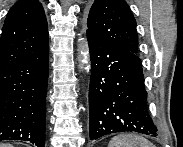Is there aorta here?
Returning <instances> with one entry per match:
<instances>
[{"label":"aorta","mask_w":183,"mask_h":147,"mask_svg":"<svg viewBox=\"0 0 183 147\" xmlns=\"http://www.w3.org/2000/svg\"><path fill=\"white\" fill-rule=\"evenodd\" d=\"M83 56H84V59H83V63H87L88 62V54L87 53H82Z\"/></svg>","instance_id":"762f6f07"}]
</instances>
